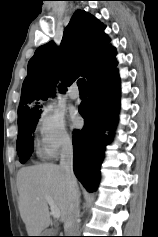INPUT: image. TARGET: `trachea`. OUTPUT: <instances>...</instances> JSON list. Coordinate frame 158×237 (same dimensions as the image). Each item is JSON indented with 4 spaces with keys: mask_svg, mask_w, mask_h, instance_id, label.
Returning a JSON list of instances; mask_svg holds the SVG:
<instances>
[{
    "mask_svg": "<svg viewBox=\"0 0 158 237\" xmlns=\"http://www.w3.org/2000/svg\"><path fill=\"white\" fill-rule=\"evenodd\" d=\"M77 85H78L79 91H81V92L86 91L85 79H79L77 82Z\"/></svg>",
    "mask_w": 158,
    "mask_h": 237,
    "instance_id": "trachea-1",
    "label": "trachea"
}]
</instances>
